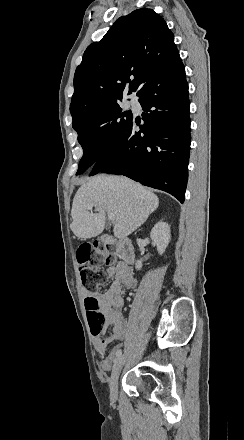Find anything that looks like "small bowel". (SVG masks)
I'll return each mask as SVG.
<instances>
[{
  "instance_id": "small-bowel-1",
  "label": "small bowel",
  "mask_w": 244,
  "mask_h": 440,
  "mask_svg": "<svg viewBox=\"0 0 244 440\" xmlns=\"http://www.w3.org/2000/svg\"><path fill=\"white\" fill-rule=\"evenodd\" d=\"M105 275L114 278L113 282L105 292L89 294L83 289L82 295L84 299L92 297L97 300L105 315V327H112V332L109 336L100 337L99 335L94 334L93 339L95 351L100 359V367L103 371H109L113 364L118 361L115 359L114 354L117 348H120L123 340L129 332V325L122 314L124 306V289H134L137 285V281L132 268L124 262H120L116 266L108 267L105 271ZM114 307L119 311L115 316L110 312ZM113 342L117 343L107 354V348Z\"/></svg>"
}]
</instances>
